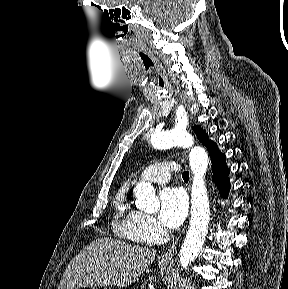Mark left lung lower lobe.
<instances>
[{
	"label": "left lung lower lobe",
	"mask_w": 288,
	"mask_h": 289,
	"mask_svg": "<svg viewBox=\"0 0 288 289\" xmlns=\"http://www.w3.org/2000/svg\"><path fill=\"white\" fill-rule=\"evenodd\" d=\"M208 151L212 160V172L215 183L225 197L231 187L228 178L230 171L225 162L226 157L218 150L217 144L215 143L208 148Z\"/></svg>",
	"instance_id": "0a47b994"
}]
</instances>
